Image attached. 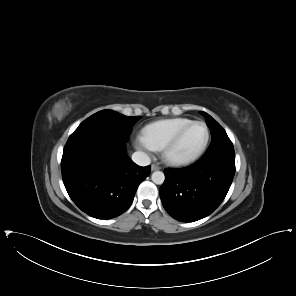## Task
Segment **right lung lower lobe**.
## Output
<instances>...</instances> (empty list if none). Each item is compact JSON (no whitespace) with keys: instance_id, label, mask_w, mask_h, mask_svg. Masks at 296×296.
<instances>
[{"instance_id":"98d812e1","label":"right lung lower lobe","mask_w":296,"mask_h":296,"mask_svg":"<svg viewBox=\"0 0 296 296\" xmlns=\"http://www.w3.org/2000/svg\"><path fill=\"white\" fill-rule=\"evenodd\" d=\"M116 136L86 133L71 135L64 147L61 171L73 202L89 216L111 219L131 205L139 184L150 174L125 152Z\"/></svg>"}]
</instances>
